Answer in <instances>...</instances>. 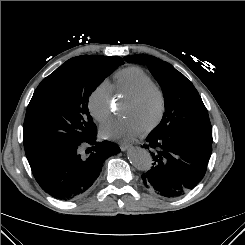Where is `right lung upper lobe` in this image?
<instances>
[{
  "mask_svg": "<svg viewBox=\"0 0 245 245\" xmlns=\"http://www.w3.org/2000/svg\"><path fill=\"white\" fill-rule=\"evenodd\" d=\"M34 162H36L35 159L31 160V161L29 162V164H33Z\"/></svg>",
  "mask_w": 245,
  "mask_h": 245,
  "instance_id": "cb5924a9",
  "label": "right lung upper lobe"
}]
</instances>
